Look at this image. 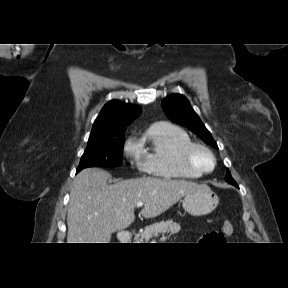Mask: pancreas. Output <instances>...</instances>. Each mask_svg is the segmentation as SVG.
<instances>
[{
	"label": "pancreas",
	"mask_w": 288,
	"mask_h": 288,
	"mask_svg": "<svg viewBox=\"0 0 288 288\" xmlns=\"http://www.w3.org/2000/svg\"><path fill=\"white\" fill-rule=\"evenodd\" d=\"M180 231V224L173 220L161 221L145 227L144 231L137 234L134 238L136 243H148L152 238L159 237L161 234H176Z\"/></svg>",
	"instance_id": "pancreas-1"
}]
</instances>
